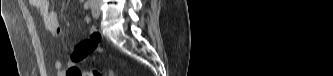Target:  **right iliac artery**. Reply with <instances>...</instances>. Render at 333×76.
I'll use <instances>...</instances> for the list:
<instances>
[{
	"label": "right iliac artery",
	"mask_w": 333,
	"mask_h": 76,
	"mask_svg": "<svg viewBox=\"0 0 333 76\" xmlns=\"http://www.w3.org/2000/svg\"><path fill=\"white\" fill-rule=\"evenodd\" d=\"M92 5H93V1L92 0H88V1L85 2L84 8L85 9L91 8Z\"/></svg>",
	"instance_id": "obj_1"
}]
</instances>
